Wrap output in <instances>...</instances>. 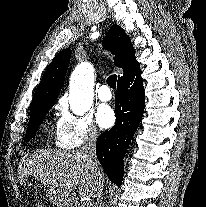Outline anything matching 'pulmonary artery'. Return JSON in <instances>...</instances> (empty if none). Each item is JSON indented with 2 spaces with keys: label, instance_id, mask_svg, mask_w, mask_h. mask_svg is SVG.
I'll use <instances>...</instances> for the list:
<instances>
[{
  "label": "pulmonary artery",
  "instance_id": "obj_1",
  "mask_svg": "<svg viewBox=\"0 0 206 207\" xmlns=\"http://www.w3.org/2000/svg\"><path fill=\"white\" fill-rule=\"evenodd\" d=\"M99 100L107 102L112 99V93L107 85H101L97 90Z\"/></svg>",
  "mask_w": 206,
  "mask_h": 207
}]
</instances>
